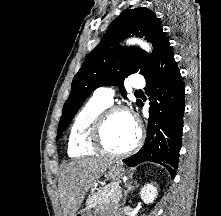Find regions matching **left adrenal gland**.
<instances>
[{
    "label": "left adrenal gland",
    "instance_id": "a2214340",
    "mask_svg": "<svg viewBox=\"0 0 221 216\" xmlns=\"http://www.w3.org/2000/svg\"><path fill=\"white\" fill-rule=\"evenodd\" d=\"M133 181H131L130 183L128 184H125V190H124V198H123V203L122 205H125L126 203V199H127V196H128V193L129 192H133L135 190V188H137L139 186V184L137 183V181H135L134 185H132Z\"/></svg>",
    "mask_w": 221,
    "mask_h": 216
}]
</instances>
